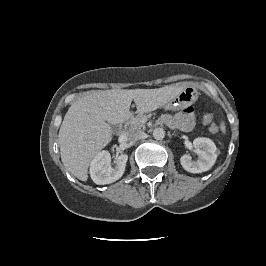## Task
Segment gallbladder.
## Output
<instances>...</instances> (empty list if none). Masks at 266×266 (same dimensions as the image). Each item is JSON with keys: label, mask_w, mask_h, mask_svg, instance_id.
<instances>
[{"label": "gallbladder", "mask_w": 266, "mask_h": 266, "mask_svg": "<svg viewBox=\"0 0 266 266\" xmlns=\"http://www.w3.org/2000/svg\"><path fill=\"white\" fill-rule=\"evenodd\" d=\"M112 129L113 130H117V126H112Z\"/></svg>", "instance_id": "gallbladder-1"}]
</instances>
